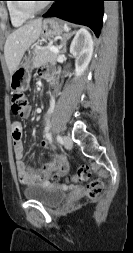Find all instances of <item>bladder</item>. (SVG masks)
<instances>
[{
	"mask_svg": "<svg viewBox=\"0 0 133 253\" xmlns=\"http://www.w3.org/2000/svg\"><path fill=\"white\" fill-rule=\"evenodd\" d=\"M23 195L26 199L40 202L47 207H56L65 198L62 189L49 184L30 185L23 190Z\"/></svg>",
	"mask_w": 133,
	"mask_h": 253,
	"instance_id": "1",
	"label": "bladder"
}]
</instances>
